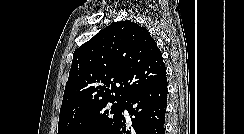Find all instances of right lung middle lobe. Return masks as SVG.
I'll list each match as a JSON object with an SVG mask.
<instances>
[{"label":"right lung middle lobe","instance_id":"right-lung-middle-lobe-1","mask_svg":"<svg viewBox=\"0 0 244 134\" xmlns=\"http://www.w3.org/2000/svg\"><path fill=\"white\" fill-rule=\"evenodd\" d=\"M123 104L124 100L112 99L59 120L58 134H104L120 116Z\"/></svg>","mask_w":244,"mask_h":134}]
</instances>
